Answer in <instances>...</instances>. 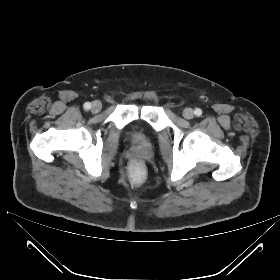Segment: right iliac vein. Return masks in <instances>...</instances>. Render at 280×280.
<instances>
[{
	"label": "right iliac vein",
	"instance_id": "63e3f726",
	"mask_svg": "<svg viewBox=\"0 0 280 280\" xmlns=\"http://www.w3.org/2000/svg\"><path fill=\"white\" fill-rule=\"evenodd\" d=\"M102 108V104L100 101H94L91 106V111L93 113H98Z\"/></svg>",
	"mask_w": 280,
	"mask_h": 280
}]
</instances>
